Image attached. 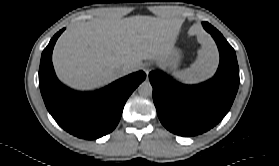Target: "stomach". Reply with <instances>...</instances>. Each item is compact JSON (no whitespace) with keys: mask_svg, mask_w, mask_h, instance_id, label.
Masks as SVG:
<instances>
[{"mask_svg":"<svg viewBox=\"0 0 279 166\" xmlns=\"http://www.w3.org/2000/svg\"><path fill=\"white\" fill-rule=\"evenodd\" d=\"M181 60V53L180 51L173 47L168 54H166L164 57H162L158 63L162 67L168 68L171 71H175L178 67Z\"/></svg>","mask_w":279,"mask_h":166,"instance_id":"stomach-1","label":"stomach"}]
</instances>
